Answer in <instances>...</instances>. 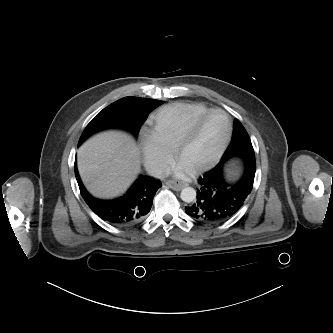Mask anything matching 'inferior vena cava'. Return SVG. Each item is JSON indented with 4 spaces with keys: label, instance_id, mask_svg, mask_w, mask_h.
Here are the masks:
<instances>
[{
    "label": "inferior vena cava",
    "instance_id": "inferior-vena-cava-1",
    "mask_svg": "<svg viewBox=\"0 0 333 333\" xmlns=\"http://www.w3.org/2000/svg\"><path fill=\"white\" fill-rule=\"evenodd\" d=\"M149 173L155 178L163 179L169 175V169L165 166H154Z\"/></svg>",
    "mask_w": 333,
    "mask_h": 333
}]
</instances>
